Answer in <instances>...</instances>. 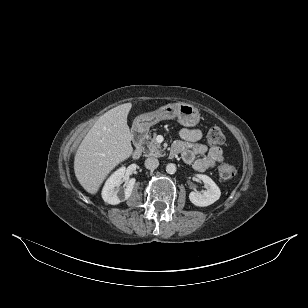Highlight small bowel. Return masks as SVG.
Segmentation results:
<instances>
[{"instance_id":"1","label":"small bowel","mask_w":308,"mask_h":308,"mask_svg":"<svg viewBox=\"0 0 308 308\" xmlns=\"http://www.w3.org/2000/svg\"><path fill=\"white\" fill-rule=\"evenodd\" d=\"M179 134L181 140L173 144L175 155L180 154L183 161L196 171L204 172L223 161V151L220 147H208L199 142L202 138L199 129L182 128Z\"/></svg>"}]
</instances>
